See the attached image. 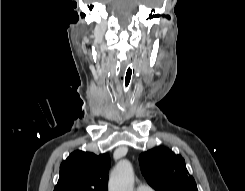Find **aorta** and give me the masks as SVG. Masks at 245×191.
Instances as JSON below:
<instances>
[{"label":"aorta","instance_id":"1","mask_svg":"<svg viewBox=\"0 0 245 191\" xmlns=\"http://www.w3.org/2000/svg\"><path fill=\"white\" fill-rule=\"evenodd\" d=\"M134 173L132 164L128 160H121L113 169L108 191H133Z\"/></svg>","mask_w":245,"mask_h":191}]
</instances>
